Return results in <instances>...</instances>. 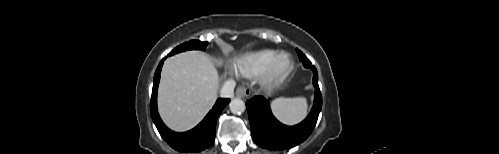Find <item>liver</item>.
Returning <instances> with one entry per match:
<instances>
[{"mask_svg":"<svg viewBox=\"0 0 499 154\" xmlns=\"http://www.w3.org/2000/svg\"><path fill=\"white\" fill-rule=\"evenodd\" d=\"M219 83L213 62L202 52L187 51L168 58L158 90L164 123L178 132L195 127L214 105Z\"/></svg>","mask_w":499,"mask_h":154,"instance_id":"6515ba94","label":"liver"}]
</instances>
